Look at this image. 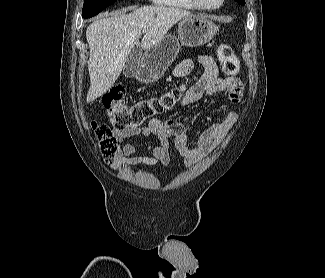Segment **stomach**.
Listing matches in <instances>:
<instances>
[{
	"mask_svg": "<svg viewBox=\"0 0 325 278\" xmlns=\"http://www.w3.org/2000/svg\"><path fill=\"white\" fill-rule=\"evenodd\" d=\"M217 33L216 24L205 16H192L182 19L178 24V35L168 34L155 46L146 50L137 72L143 83L160 79L175 60L180 45L197 47L211 41Z\"/></svg>",
	"mask_w": 325,
	"mask_h": 278,
	"instance_id": "stomach-1",
	"label": "stomach"
}]
</instances>
